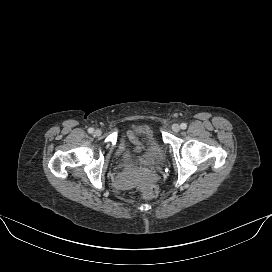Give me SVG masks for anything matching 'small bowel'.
Here are the masks:
<instances>
[{"label": "small bowel", "instance_id": "small-bowel-1", "mask_svg": "<svg viewBox=\"0 0 272 272\" xmlns=\"http://www.w3.org/2000/svg\"><path fill=\"white\" fill-rule=\"evenodd\" d=\"M126 136L131 140L135 150H140L142 148V141L134 137L132 133H128Z\"/></svg>", "mask_w": 272, "mask_h": 272}]
</instances>
